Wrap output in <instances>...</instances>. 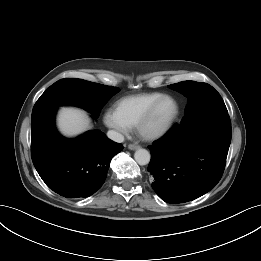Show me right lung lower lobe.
I'll use <instances>...</instances> for the list:
<instances>
[{
	"label": "right lung lower lobe",
	"instance_id": "obj_1",
	"mask_svg": "<svg viewBox=\"0 0 261 261\" xmlns=\"http://www.w3.org/2000/svg\"><path fill=\"white\" fill-rule=\"evenodd\" d=\"M57 108L32 116L33 164L46 185L59 195L91 196L105 182L109 163L123 146L96 130L75 139L63 138L54 124Z\"/></svg>",
	"mask_w": 261,
	"mask_h": 261
}]
</instances>
